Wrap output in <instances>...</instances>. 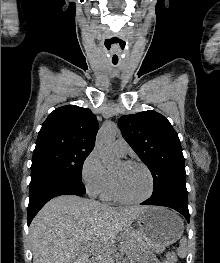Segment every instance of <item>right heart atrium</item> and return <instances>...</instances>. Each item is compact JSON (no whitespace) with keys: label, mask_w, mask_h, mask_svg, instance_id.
Instances as JSON below:
<instances>
[{"label":"right heart atrium","mask_w":220,"mask_h":263,"mask_svg":"<svg viewBox=\"0 0 220 263\" xmlns=\"http://www.w3.org/2000/svg\"><path fill=\"white\" fill-rule=\"evenodd\" d=\"M81 180L88 194L92 196L101 194L107 186L108 171L95 149L86 156L82 163Z\"/></svg>","instance_id":"obj_1"}]
</instances>
